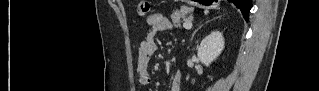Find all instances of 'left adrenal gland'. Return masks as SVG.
Returning <instances> with one entry per match:
<instances>
[{
	"label": "left adrenal gland",
	"mask_w": 319,
	"mask_h": 91,
	"mask_svg": "<svg viewBox=\"0 0 319 91\" xmlns=\"http://www.w3.org/2000/svg\"><path fill=\"white\" fill-rule=\"evenodd\" d=\"M217 18H221V16H219V17H217ZM216 18H214V19H212V20H215ZM209 22V21H208ZM207 23V22H206ZM203 26V24L202 25H200L194 32H193V34H192V37H194V35L196 34V32L201 28Z\"/></svg>",
	"instance_id": "a2214340"
}]
</instances>
